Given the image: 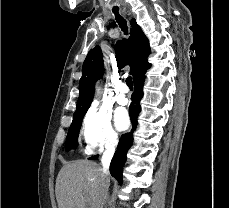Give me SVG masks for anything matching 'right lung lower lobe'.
I'll list each match as a JSON object with an SVG mask.
<instances>
[{"label": "right lung lower lobe", "instance_id": "1", "mask_svg": "<svg viewBox=\"0 0 229 208\" xmlns=\"http://www.w3.org/2000/svg\"><path fill=\"white\" fill-rule=\"evenodd\" d=\"M145 74L142 76L137 77L134 80V93L132 97V103L129 107V114L131 118V123L133 125V129L137 126V117L141 111L140 107V99L143 95L142 88L144 84ZM133 141V134L132 133H126L123 134L119 145L117 147V151L111 161L110 164V173L113 177H115L119 183H122V170L124 163L126 161V153L128 149L131 147V143ZM98 156H94L89 158L90 160L96 159Z\"/></svg>", "mask_w": 229, "mask_h": 208}]
</instances>
